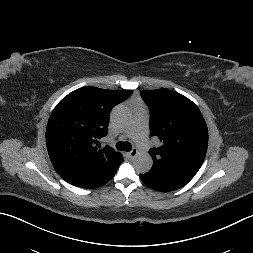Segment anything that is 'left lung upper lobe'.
Listing matches in <instances>:
<instances>
[{"mask_svg":"<svg viewBox=\"0 0 253 253\" xmlns=\"http://www.w3.org/2000/svg\"><path fill=\"white\" fill-rule=\"evenodd\" d=\"M141 96L150 109V133L160 141L149 151L150 172L191 180L208 146V129L199 108L169 89L141 91Z\"/></svg>","mask_w":253,"mask_h":253,"instance_id":"1","label":"left lung upper lobe"}]
</instances>
